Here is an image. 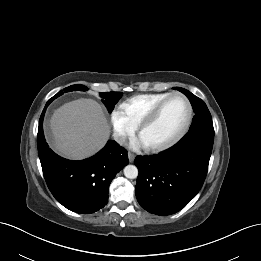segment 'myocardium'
<instances>
[{
	"label": "myocardium",
	"instance_id": "myocardium-1",
	"mask_svg": "<svg viewBox=\"0 0 261 261\" xmlns=\"http://www.w3.org/2000/svg\"><path fill=\"white\" fill-rule=\"evenodd\" d=\"M179 97L181 98L187 107V117L185 120V123L181 130L170 140L161 143V144H155V145H144L145 148L149 151H163L166 150L175 144H177L188 132L193 118V108L190 100L181 92H173L168 94L165 98H163L161 101H159L151 110L150 112L145 116V118L140 122V124L137 126V134L140 137L141 133L150 126L158 117L159 113L161 112L164 105L172 98Z\"/></svg>",
	"mask_w": 261,
	"mask_h": 261
}]
</instances>
